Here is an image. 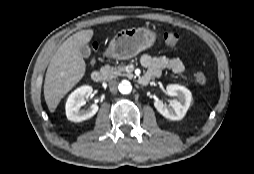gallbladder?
Returning a JSON list of instances; mask_svg holds the SVG:
<instances>
[{"instance_id": "bac80fb5", "label": "gallbladder", "mask_w": 254, "mask_h": 174, "mask_svg": "<svg viewBox=\"0 0 254 174\" xmlns=\"http://www.w3.org/2000/svg\"><path fill=\"white\" fill-rule=\"evenodd\" d=\"M80 53L84 58H88L91 54V48L88 45H83L80 47Z\"/></svg>"}]
</instances>
